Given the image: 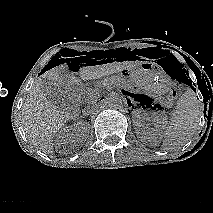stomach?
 Masks as SVG:
<instances>
[{
  "label": "stomach",
  "instance_id": "0dacf381",
  "mask_svg": "<svg viewBox=\"0 0 213 213\" xmlns=\"http://www.w3.org/2000/svg\"><path fill=\"white\" fill-rule=\"evenodd\" d=\"M122 75L128 77L135 86L151 97L164 96L170 91V79L158 63L142 61L132 68L123 70Z\"/></svg>",
  "mask_w": 213,
  "mask_h": 213
}]
</instances>
